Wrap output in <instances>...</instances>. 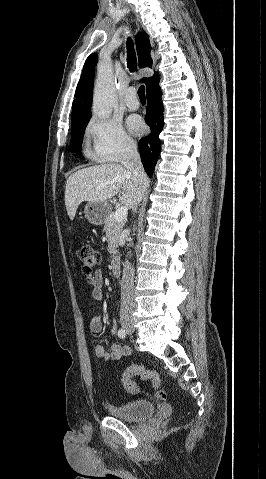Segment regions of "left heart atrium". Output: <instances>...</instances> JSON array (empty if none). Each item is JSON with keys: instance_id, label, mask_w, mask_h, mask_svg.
I'll return each mask as SVG.
<instances>
[{"instance_id": "39dd6f15", "label": "left heart atrium", "mask_w": 266, "mask_h": 479, "mask_svg": "<svg viewBox=\"0 0 266 479\" xmlns=\"http://www.w3.org/2000/svg\"><path fill=\"white\" fill-rule=\"evenodd\" d=\"M128 128L134 134H140L144 130L143 121L137 116L129 117L127 121Z\"/></svg>"}]
</instances>
